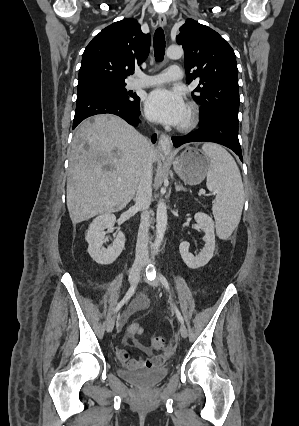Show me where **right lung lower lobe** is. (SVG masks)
<instances>
[{"label":"right lung lower lobe","instance_id":"98d812e1","mask_svg":"<svg viewBox=\"0 0 299 426\" xmlns=\"http://www.w3.org/2000/svg\"><path fill=\"white\" fill-rule=\"evenodd\" d=\"M140 98L137 96L136 102H127L113 95L85 91L77 96L76 111L73 122V129L85 118L96 114H115L123 118L131 125L139 123ZM156 134L152 135V142L155 143Z\"/></svg>","mask_w":299,"mask_h":426}]
</instances>
